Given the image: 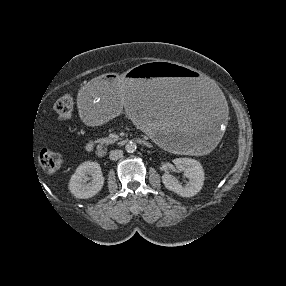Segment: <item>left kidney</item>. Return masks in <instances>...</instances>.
I'll list each match as a JSON object with an SVG mask.
<instances>
[{"label":"left kidney","instance_id":"obj_1","mask_svg":"<svg viewBox=\"0 0 286 286\" xmlns=\"http://www.w3.org/2000/svg\"><path fill=\"white\" fill-rule=\"evenodd\" d=\"M175 166L184 172V176L190 179V182L183 186L174 177L168 174L162 175L164 186L182 197H192L202 188L204 183V170L201 164L191 158H176L173 160Z\"/></svg>","mask_w":286,"mask_h":286}]
</instances>
